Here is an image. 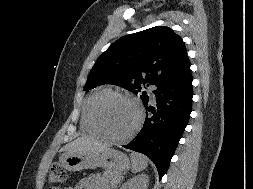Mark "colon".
Wrapping results in <instances>:
<instances>
[{
    "instance_id": "colon-1",
    "label": "colon",
    "mask_w": 253,
    "mask_h": 189,
    "mask_svg": "<svg viewBox=\"0 0 253 189\" xmlns=\"http://www.w3.org/2000/svg\"><path fill=\"white\" fill-rule=\"evenodd\" d=\"M67 179V172L59 164H53L49 176L48 183L52 186L62 184Z\"/></svg>"
}]
</instances>
